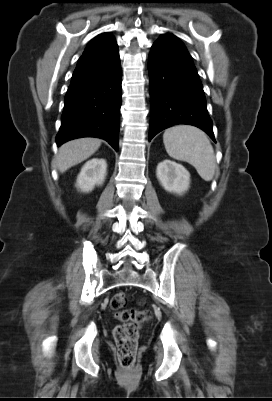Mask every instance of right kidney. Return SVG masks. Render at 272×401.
Returning a JSON list of instances; mask_svg holds the SVG:
<instances>
[{"label": "right kidney", "instance_id": "1", "mask_svg": "<svg viewBox=\"0 0 272 401\" xmlns=\"http://www.w3.org/2000/svg\"><path fill=\"white\" fill-rule=\"evenodd\" d=\"M107 163L105 159L94 158L82 167L76 181V187L82 192L92 191L95 185H102L106 177Z\"/></svg>", "mask_w": 272, "mask_h": 401}]
</instances>
